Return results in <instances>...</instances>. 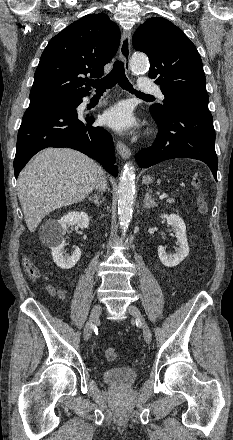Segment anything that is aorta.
I'll list each match as a JSON object with an SVG mask.
<instances>
[{
	"instance_id": "1",
	"label": "aorta",
	"mask_w": 233,
	"mask_h": 440,
	"mask_svg": "<svg viewBox=\"0 0 233 440\" xmlns=\"http://www.w3.org/2000/svg\"><path fill=\"white\" fill-rule=\"evenodd\" d=\"M130 69L135 74H144L149 69L146 55L137 53L131 57ZM135 169L127 163L120 177L118 187V216L121 228L125 231L132 219L134 194H135Z\"/></svg>"
}]
</instances>
